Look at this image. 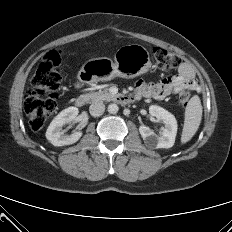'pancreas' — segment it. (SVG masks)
I'll list each match as a JSON object with an SVG mask.
<instances>
[{"instance_id":"pancreas-1","label":"pancreas","mask_w":232,"mask_h":232,"mask_svg":"<svg viewBox=\"0 0 232 232\" xmlns=\"http://www.w3.org/2000/svg\"><path fill=\"white\" fill-rule=\"evenodd\" d=\"M87 100L90 102H102V101H110L114 99V95L106 90H99L97 92L88 93L85 95Z\"/></svg>"}]
</instances>
